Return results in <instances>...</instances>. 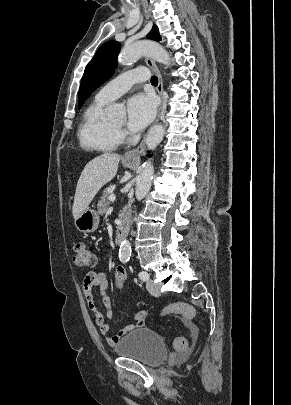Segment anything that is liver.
<instances>
[{"label":"liver","mask_w":291,"mask_h":405,"mask_svg":"<svg viewBox=\"0 0 291 405\" xmlns=\"http://www.w3.org/2000/svg\"><path fill=\"white\" fill-rule=\"evenodd\" d=\"M120 156L104 153L86 164L77 182L72 213L74 219L88 208L99 190L116 175Z\"/></svg>","instance_id":"obj_1"}]
</instances>
